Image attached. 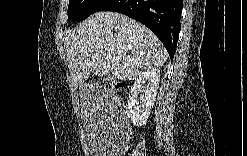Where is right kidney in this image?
Masks as SVG:
<instances>
[{
  "mask_svg": "<svg viewBox=\"0 0 247 156\" xmlns=\"http://www.w3.org/2000/svg\"><path fill=\"white\" fill-rule=\"evenodd\" d=\"M160 82V71L156 67H150L142 72L131 87L127 115L135 126H143L153 108ZM143 92L141 104L137 101V95Z\"/></svg>",
  "mask_w": 247,
  "mask_h": 156,
  "instance_id": "right-kidney-1",
  "label": "right kidney"
}]
</instances>
